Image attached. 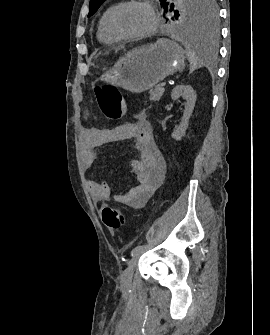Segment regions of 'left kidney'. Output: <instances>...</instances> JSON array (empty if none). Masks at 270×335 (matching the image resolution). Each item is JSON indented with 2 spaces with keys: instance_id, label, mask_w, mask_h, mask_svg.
I'll return each mask as SVG.
<instances>
[{
  "instance_id": "obj_1",
  "label": "left kidney",
  "mask_w": 270,
  "mask_h": 335,
  "mask_svg": "<svg viewBox=\"0 0 270 335\" xmlns=\"http://www.w3.org/2000/svg\"><path fill=\"white\" fill-rule=\"evenodd\" d=\"M180 96H182L183 100H186V104L180 126H178L172 134V138H174V140H182L183 136H185L189 118L192 116L196 102V92L193 90L192 86H175L172 90L171 98L172 100H178Z\"/></svg>"
}]
</instances>
